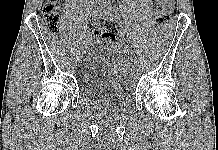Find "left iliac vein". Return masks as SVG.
Returning <instances> with one entry per match:
<instances>
[{
    "mask_svg": "<svg viewBox=\"0 0 218 150\" xmlns=\"http://www.w3.org/2000/svg\"><path fill=\"white\" fill-rule=\"evenodd\" d=\"M101 17L108 22L119 23L120 16L115 10L107 9L101 12ZM128 75H133V68H128Z\"/></svg>",
    "mask_w": 218,
    "mask_h": 150,
    "instance_id": "left-iliac-vein-1",
    "label": "left iliac vein"
}]
</instances>
